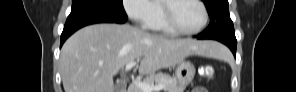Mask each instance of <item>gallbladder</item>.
I'll return each mask as SVG.
<instances>
[{
	"instance_id": "gallbladder-1",
	"label": "gallbladder",
	"mask_w": 296,
	"mask_h": 92,
	"mask_svg": "<svg viewBox=\"0 0 296 92\" xmlns=\"http://www.w3.org/2000/svg\"><path fill=\"white\" fill-rule=\"evenodd\" d=\"M125 88L123 83H116L114 86L115 92H122Z\"/></svg>"
}]
</instances>
